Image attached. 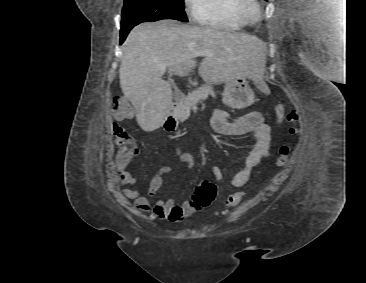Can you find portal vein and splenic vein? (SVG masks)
Masks as SVG:
<instances>
[{"label": "portal vein and splenic vein", "mask_w": 366, "mask_h": 283, "mask_svg": "<svg viewBox=\"0 0 366 283\" xmlns=\"http://www.w3.org/2000/svg\"><path fill=\"white\" fill-rule=\"evenodd\" d=\"M196 56H207L209 55V51L204 50V51H198L195 53ZM158 69L164 70L166 69V65H158L157 66Z\"/></svg>", "instance_id": "obj_1"}]
</instances>
